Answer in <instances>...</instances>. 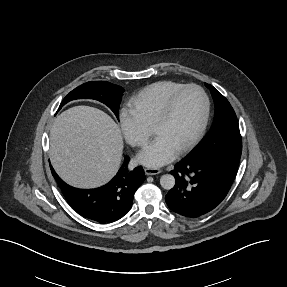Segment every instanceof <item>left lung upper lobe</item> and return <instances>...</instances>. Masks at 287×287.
<instances>
[{
  "mask_svg": "<svg viewBox=\"0 0 287 287\" xmlns=\"http://www.w3.org/2000/svg\"><path fill=\"white\" fill-rule=\"evenodd\" d=\"M211 90L215 103V117L212 128L204 140L186 157L240 156L242 139L236 114L228 100L213 86Z\"/></svg>",
  "mask_w": 287,
  "mask_h": 287,
  "instance_id": "1",
  "label": "left lung upper lobe"
}]
</instances>
